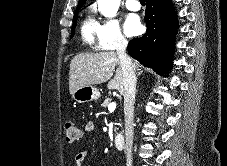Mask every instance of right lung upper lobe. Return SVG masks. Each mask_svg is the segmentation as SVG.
Returning a JSON list of instances; mask_svg holds the SVG:
<instances>
[{
  "label": "right lung upper lobe",
  "instance_id": "right-lung-upper-lobe-1",
  "mask_svg": "<svg viewBox=\"0 0 227 166\" xmlns=\"http://www.w3.org/2000/svg\"><path fill=\"white\" fill-rule=\"evenodd\" d=\"M86 0H79L78 6L77 7H82L84 5Z\"/></svg>",
  "mask_w": 227,
  "mask_h": 166
}]
</instances>
